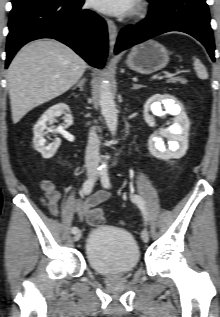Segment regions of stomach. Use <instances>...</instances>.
Returning a JSON list of instances; mask_svg holds the SVG:
<instances>
[{"mask_svg":"<svg viewBox=\"0 0 220 317\" xmlns=\"http://www.w3.org/2000/svg\"><path fill=\"white\" fill-rule=\"evenodd\" d=\"M169 62L168 50L154 40H147L132 48L126 65L141 74H151L166 67Z\"/></svg>","mask_w":220,"mask_h":317,"instance_id":"obj_1","label":"stomach"}]
</instances>
